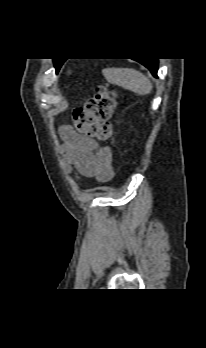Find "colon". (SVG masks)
<instances>
[{"instance_id":"colon-1","label":"colon","mask_w":206,"mask_h":348,"mask_svg":"<svg viewBox=\"0 0 206 348\" xmlns=\"http://www.w3.org/2000/svg\"><path fill=\"white\" fill-rule=\"evenodd\" d=\"M115 103V91L106 86L98 87L95 95L87 100L84 108L74 111V127L79 132L97 140L113 142L115 134L110 118Z\"/></svg>"}]
</instances>
